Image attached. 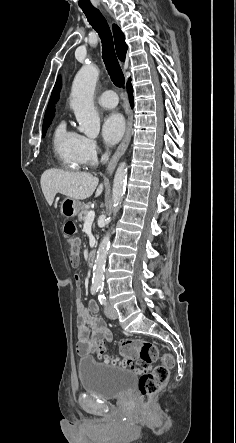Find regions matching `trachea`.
Returning a JSON list of instances; mask_svg holds the SVG:
<instances>
[{"label":"trachea","mask_w":236,"mask_h":443,"mask_svg":"<svg viewBox=\"0 0 236 443\" xmlns=\"http://www.w3.org/2000/svg\"><path fill=\"white\" fill-rule=\"evenodd\" d=\"M83 12L101 38L102 58L112 82L119 88L124 87V74L116 57L112 33L106 19L96 8L83 9Z\"/></svg>","instance_id":"3493384b"}]
</instances>
